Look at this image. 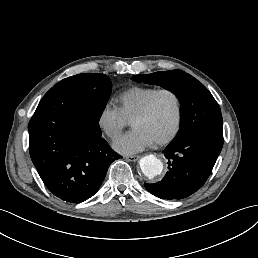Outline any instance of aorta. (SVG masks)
<instances>
[{
  "label": "aorta",
  "instance_id": "1",
  "mask_svg": "<svg viewBox=\"0 0 258 258\" xmlns=\"http://www.w3.org/2000/svg\"><path fill=\"white\" fill-rule=\"evenodd\" d=\"M140 168L144 175L149 179L160 175L163 171V163L155 155L150 154L140 159Z\"/></svg>",
  "mask_w": 258,
  "mask_h": 258
}]
</instances>
